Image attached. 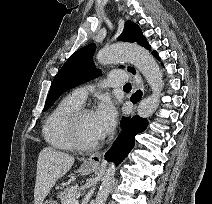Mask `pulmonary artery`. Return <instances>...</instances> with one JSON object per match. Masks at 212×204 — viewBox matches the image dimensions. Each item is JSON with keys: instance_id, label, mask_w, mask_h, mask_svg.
Returning <instances> with one entry per match:
<instances>
[{"instance_id": "1", "label": "pulmonary artery", "mask_w": 212, "mask_h": 204, "mask_svg": "<svg viewBox=\"0 0 212 204\" xmlns=\"http://www.w3.org/2000/svg\"><path fill=\"white\" fill-rule=\"evenodd\" d=\"M127 80V75L122 72L110 74L103 82L104 87H118L123 85ZM88 95V89L85 87H80L75 89L73 92V97L77 99L82 104L85 102Z\"/></svg>"}]
</instances>
